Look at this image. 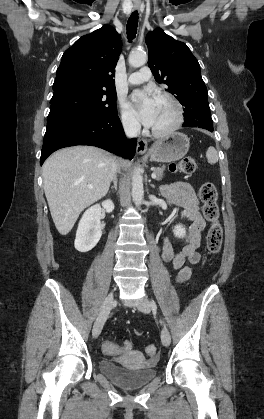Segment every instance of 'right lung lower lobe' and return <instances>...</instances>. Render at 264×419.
<instances>
[{
	"instance_id": "obj_1",
	"label": "right lung lower lobe",
	"mask_w": 264,
	"mask_h": 419,
	"mask_svg": "<svg viewBox=\"0 0 264 419\" xmlns=\"http://www.w3.org/2000/svg\"><path fill=\"white\" fill-rule=\"evenodd\" d=\"M136 144V139L126 140L117 114L69 116L47 128L40 164L54 151L73 145H92L132 159Z\"/></svg>"
}]
</instances>
